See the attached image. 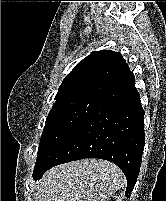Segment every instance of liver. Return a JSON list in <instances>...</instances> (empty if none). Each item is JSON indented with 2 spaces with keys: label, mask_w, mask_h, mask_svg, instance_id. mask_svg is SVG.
<instances>
[{
  "label": "liver",
  "mask_w": 166,
  "mask_h": 201,
  "mask_svg": "<svg viewBox=\"0 0 166 201\" xmlns=\"http://www.w3.org/2000/svg\"><path fill=\"white\" fill-rule=\"evenodd\" d=\"M125 183L121 169L101 159L56 166L37 183L40 201H107Z\"/></svg>",
  "instance_id": "liver-1"
}]
</instances>
